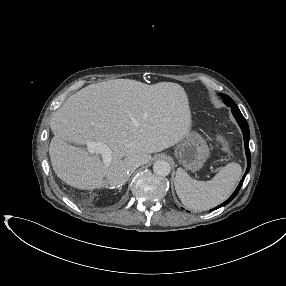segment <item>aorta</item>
<instances>
[{"instance_id": "1", "label": "aorta", "mask_w": 286, "mask_h": 286, "mask_svg": "<svg viewBox=\"0 0 286 286\" xmlns=\"http://www.w3.org/2000/svg\"><path fill=\"white\" fill-rule=\"evenodd\" d=\"M153 171L158 176H167L171 172V166L165 160H157L153 165Z\"/></svg>"}]
</instances>
